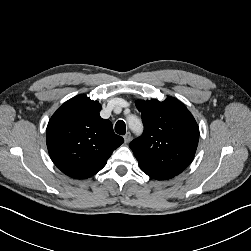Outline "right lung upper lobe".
Here are the masks:
<instances>
[{"label":"right lung upper lobe","instance_id":"obj_1","mask_svg":"<svg viewBox=\"0 0 251 251\" xmlns=\"http://www.w3.org/2000/svg\"><path fill=\"white\" fill-rule=\"evenodd\" d=\"M101 105L80 94L51 117L46 142L53 163L66 175L86 179L99 172L124 139L100 117Z\"/></svg>","mask_w":251,"mask_h":251}]
</instances>
